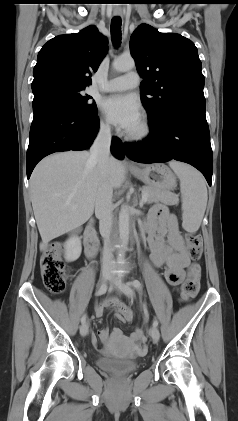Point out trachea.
Wrapping results in <instances>:
<instances>
[{"mask_svg": "<svg viewBox=\"0 0 238 421\" xmlns=\"http://www.w3.org/2000/svg\"><path fill=\"white\" fill-rule=\"evenodd\" d=\"M111 37L113 44L119 46L121 43V18L114 17L111 21Z\"/></svg>", "mask_w": 238, "mask_h": 421, "instance_id": "1", "label": "trachea"}]
</instances>
